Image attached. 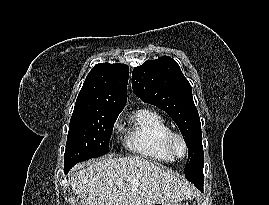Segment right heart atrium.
<instances>
[{
  "label": "right heart atrium",
  "mask_w": 269,
  "mask_h": 205,
  "mask_svg": "<svg viewBox=\"0 0 269 205\" xmlns=\"http://www.w3.org/2000/svg\"><path fill=\"white\" fill-rule=\"evenodd\" d=\"M118 129H119V121L116 120V121L114 122V124H113V131H114L115 133H117V132H118Z\"/></svg>",
  "instance_id": "obj_1"
}]
</instances>
